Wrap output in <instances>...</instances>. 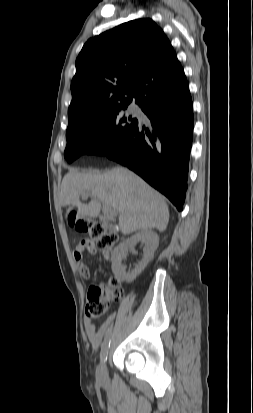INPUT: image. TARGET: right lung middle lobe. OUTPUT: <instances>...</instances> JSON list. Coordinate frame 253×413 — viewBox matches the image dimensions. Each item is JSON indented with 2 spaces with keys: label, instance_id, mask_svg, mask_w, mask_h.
Returning a JSON list of instances; mask_svg holds the SVG:
<instances>
[{
  "label": "right lung middle lobe",
  "instance_id": "dd1d6c3e",
  "mask_svg": "<svg viewBox=\"0 0 253 413\" xmlns=\"http://www.w3.org/2000/svg\"><path fill=\"white\" fill-rule=\"evenodd\" d=\"M128 105H115L69 121L64 152L70 163L82 154L104 156L137 125L138 120L121 112Z\"/></svg>",
  "mask_w": 253,
  "mask_h": 413
}]
</instances>
